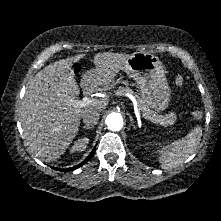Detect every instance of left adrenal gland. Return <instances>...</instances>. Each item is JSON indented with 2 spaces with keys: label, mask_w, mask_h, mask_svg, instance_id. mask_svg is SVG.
Segmentation results:
<instances>
[{
  "label": "left adrenal gland",
  "mask_w": 221,
  "mask_h": 221,
  "mask_svg": "<svg viewBox=\"0 0 221 221\" xmlns=\"http://www.w3.org/2000/svg\"><path fill=\"white\" fill-rule=\"evenodd\" d=\"M129 118H130V122H131L129 127H133L134 129H136V126L134 125L133 117L131 115H129Z\"/></svg>",
  "instance_id": "1"
}]
</instances>
